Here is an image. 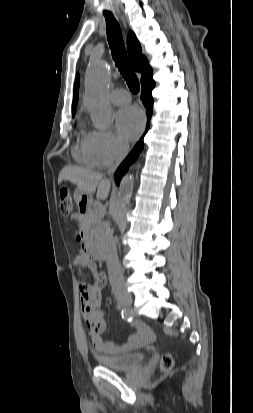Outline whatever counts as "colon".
Listing matches in <instances>:
<instances>
[{"label": "colon", "mask_w": 253, "mask_h": 413, "mask_svg": "<svg viewBox=\"0 0 253 413\" xmlns=\"http://www.w3.org/2000/svg\"><path fill=\"white\" fill-rule=\"evenodd\" d=\"M60 211L64 216H68L73 211V201L68 190H61L60 192ZM161 369L168 372L173 367V359L170 354H165L161 358Z\"/></svg>", "instance_id": "5ec220e1"}]
</instances>
